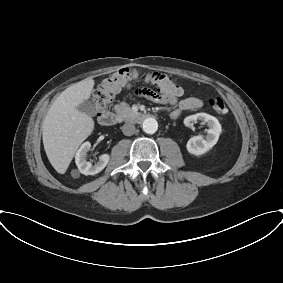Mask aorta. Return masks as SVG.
I'll list each match as a JSON object with an SVG mask.
<instances>
[{"instance_id":"762f6f07","label":"aorta","mask_w":283,"mask_h":283,"mask_svg":"<svg viewBox=\"0 0 283 283\" xmlns=\"http://www.w3.org/2000/svg\"><path fill=\"white\" fill-rule=\"evenodd\" d=\"M143 131L147 134H154L158 129V123L154 118H146L143 121Z\"/></svg>"}]
</instances>
